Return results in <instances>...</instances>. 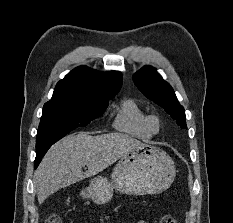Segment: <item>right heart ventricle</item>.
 Instances as JSON below:
<instances>
[{
  "instance_id": "obj_1",
  "label": "right heart ventricle",
  "mask_w": 233,
  "mask_h": 223,
  "mask_svg": "<svg viewBox=\"0 0 233 223\" xmlns=\"http://www.w3.org/2000/svg\"><path fill=\"white\" fill-rule=\"evenodd\" d=\"M147 114L133 98L124 99L115 111L111 125L122 133L132 137L148 140L152 133L147 127Z\"/></svg>"
}]
</instances>
